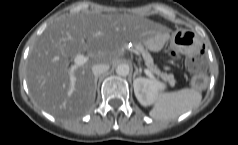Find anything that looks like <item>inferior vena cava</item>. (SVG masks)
Segmentation results:
<instances>
[{"instance_id": "obj_1", "label": "inferior vena cava", "mask_w": 238, "mask_h": 145, "mask_svg": "<svg viewBox=\"0 0 238 145\" xmlns=\"http://www.w3.org/2000/svg\"><path fill=\"white\" fill-rule=\"evenodd\" d=\"M110 68L109 64H96L92 67V72L95 77L100 76L101 74L108 71Z\"/></svg>"}]
</instances>
